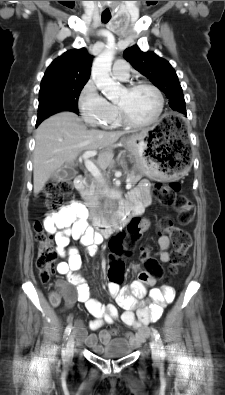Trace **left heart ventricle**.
I'll list each match as a JSON object with an SVG mask.
<instances>
[{
    "mask_svg": "<svg viewBox=\"0 0 225 395\" xmlns=\"http://www.w3.org/2000/svg\"><path fill=\"white\" fill-rule=\"evenodd\" d=\"M116 103L121 105L127 116L136 122L150 120L157 110V98L148 88H139L132 92L123 89Z\"/></svg>",
    "mask_w": 225,
    "mask_h": 395,
    "instance_id": "left-heart-ventricle-1",
    "label": "left heart ventricle"
}]
</instances>
